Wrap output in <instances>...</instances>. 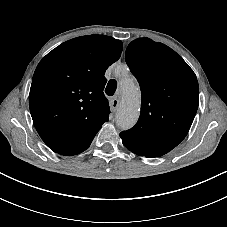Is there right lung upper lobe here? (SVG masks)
<instances>
[{
  "instance_id": "1",
  "label": "right lung upper lobe",
  "mask_w": 227,
  "mask_h": 227,
  "mask_svg": "<svg viewBox=\"0 0 227 227\" xmlns=\"http://www.w3.org/2000/svg\"><path fill=\"white\" fill-rule=\"evenodd\" d=\"M122 48V42L110 36H81L59 45L38 64L30 112L40 137L54 152H83L109 120L104 74Z\"/></svg>"
}]
</instances>
